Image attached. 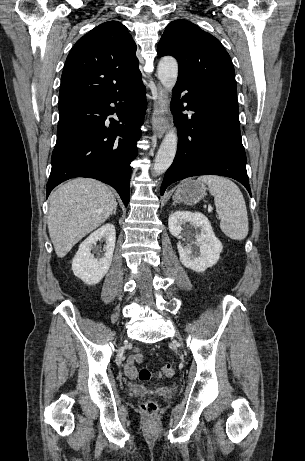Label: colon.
Instances as JSON below:
<instances>
[{"instance_id":"5ec220e1","label":"colon","mask_w":305,"mask_h":461,"mask_svg":"<svg viewBox=\"0 0 305 461\" xmlns=\"http://www.w3.org/2000/svg\"><path fill=\"white\" fill-rule=\"evenodd\" d=\"M174 373H175V368L172 364H165L160 369V376L162 377H166V378L172 377ZM137 378L141 382H148L152 379V372L147 368H141L137 372ZM140 407H141V410L149 416L155 415L158 410V406L156 402L153 400H145L144 402H142Z\"/></svg>"}]
</instances>
